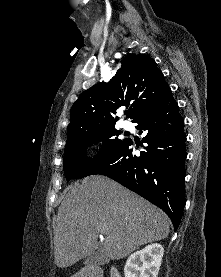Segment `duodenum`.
I'll list each match as a JSON object with an SVG mask.
<instances>
[{
  "mask_svg": "<svg viewBox=\"0 0 221 277\" xmlns=\"http://www.w3.org/2000/svg\"><path fill=\"white\" fill-rule=\"evenodd\" d=\"M82 277H102V272L98 267H90L83 272ZM109 277L121 276L119 274V271L115 267H112L109 273Z\"/></svg>",
  "mask_w": 221,
  "mask_h": 277,
  "instance_id": "duodenum-1",
  "label": "duodenum"
}]
</instances>
